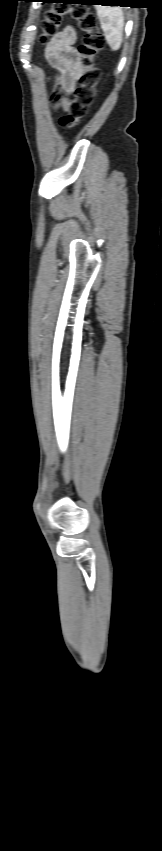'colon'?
I'll return each mask as SVG.
<instances>
[{
  "label": "colon",
  "instance_id": "5ec220e1",
  "mask_svg": "<svg viewBox=\"0 0 162 851\" xmlns=\"http://www.w3.org/2000/svg\"><path fill=\"white\" fill-rule=\"evenodd\" d=\"M69 15L78 24L83 33L79 53L82 57L83 73L75 87L72 98L69 100L66 114L61 117L60 125L63 129L75 128L87 113L93 102L95 86L100 77V71L95 65V58L105 47V38L99 30L95 15L83 6L57 4L45 13L42 21L40 36L41 42L55 36L65 16Z\"/></svg>",
  "mask_w": 162,
  "mask_h": 851
}]
</instances>
